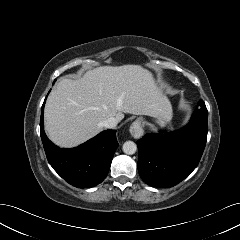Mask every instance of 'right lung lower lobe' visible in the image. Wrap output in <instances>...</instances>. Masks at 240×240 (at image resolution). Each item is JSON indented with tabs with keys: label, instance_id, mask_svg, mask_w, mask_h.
<instances>
[{
	"label": "right lung lower lobe",
	"instance_id": "right-lung-lower-lobe-1",
	"mask_svg": "<svg viewBox=\"0 0 240 240\" xmlns=\"http://www.w3.org/2000/svg\"><path fill=\"white\" fill-rule=\"evenodd\" d=\"M43 107L40 120L41 139L48 162L69 184L89 188L101 183L109 172L112 158L118 147L116 130H106L86 143L72 149L53 145L45 135Z\"/></svg>",
	"mask_w": 240,
	"mask_h": 240
}]
</instances>
